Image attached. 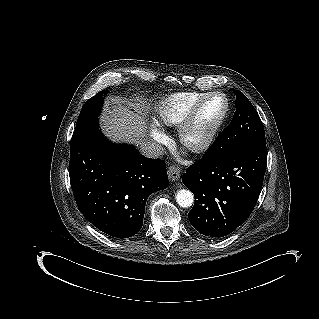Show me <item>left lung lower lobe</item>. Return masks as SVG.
Instances as JSON below:
<instances>
[{
  "label": "left lung lower lobe",
  "mask_w": 319,
  "mask_h": 319,
  "mask_svg": "<svg viewBox=\"0 0 319 319\" xmlns=\"http://www.w3.org/2000/svg\"><path fill=\"white\" fill-rule=\"evenodd\" d=\"M267 165L265 144L244 147L214 159L204 156L188 167L182 181L195 196L188 213L194 229L206 238H222L251 214Z\"/></svg>",
  "instance_id": "1"
}]
</instances>
